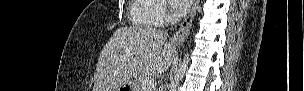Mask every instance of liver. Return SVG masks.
I'll use <instances>...</instances> for the list:
<instances>
[{
  "mask_svg": "<svg viewBox=\"0 0 304 91\" xmlns=\"http://www.w3.org/2000/svg\"><path fill=\"white\" fill-rule=\"evenodd\" d=\"M167 34L151 27L120 28L102 49L93 91H118L130 78L156 76L173 63Z\"/></svg>",
  "mask_w": 304,
  "mask_h": 91,
  "instance_id": "1",
  "label": "liver"
}]
</instances>
